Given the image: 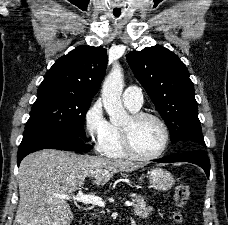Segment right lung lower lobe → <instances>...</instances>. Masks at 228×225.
I'll use <instances>...</instances> for the list:
<instances>
[{
    "label": "right lung lower lobe",
    "mask_w": 228,
    "mask_h": 225,
    "mask_svg": "<svg viewBox=\"0 0 228 225\" xmlns=\"http://www.w3.org/2000/svg\"><path fill=\"white\" fill-rule=\"evenodd\" d=\"M41 149H59L67 151H87L81 137L54 128H38L24 131L23 140L17 154V164L28 154Z\"/></svg>",
    "instance_id": "obj_1"
}]
</instances>
